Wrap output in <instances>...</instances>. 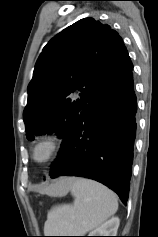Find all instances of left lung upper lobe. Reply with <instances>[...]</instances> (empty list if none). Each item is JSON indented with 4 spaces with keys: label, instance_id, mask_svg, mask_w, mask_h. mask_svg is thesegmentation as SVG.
<instances>
[{
    "label": "left lung upper lobe",
    "instance_id": "left-lung-upper-lobe-1",
    "mask_svg": "<svg viewBox=\"0 0 158 237\" xmlns=\"http://www.w3.org/2000/svg\"><path fill=\"white\" fill-rule=\"evenodd\" d=\"M133 68L119 34L84 18L43 48L28 85L26 136L56 133L64 139L80 112L101 90Z\"/></svg>",
    "mask_w": 158,
    "mask_h": 237
}]
</instances>
